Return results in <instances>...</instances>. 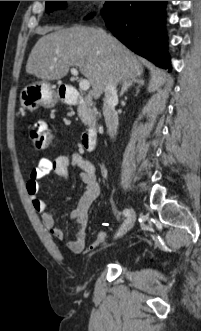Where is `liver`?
I'll return each instance as SVG.
<instances>
[{
  "label": "liver",
  "instance_id": "6515ba94",
  "mask_svg": "<svg viewBox=\"0 0 201 331\" xmlns=\"http://www.w3.org/2000/svg\"><path fill=\"white\" fill-rule=\"evenodd\" d=\"M77 67L99 99L110 82L119 84L143 73L136 55L103 30L85 26L59 29L41 37L33 47L26 72L43 81L65 77Z\"/></svg>",
  "mask_w": 201,
  "mask_h": 331
}]
</instances>
